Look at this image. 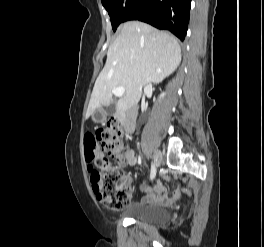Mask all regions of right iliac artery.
I'll use <instances>...</instances> for the list:
<instances>
[{
    "label": "right iliac artery",
    "mask_w": 264,
    "mask_h": 247,
    "mask_svg": "<svg viewBox=\"0 0 264 247\" xmlns=\"http://www.w3.org/2000/svg\"><path fill=\"white\" fill-rule=\"evenodd\" d=\"M155 176H156V168H155V165L152 163L151 172H150V180H153Z\"/></svg>",
    "instance_id": "1"
}]
</instances>
